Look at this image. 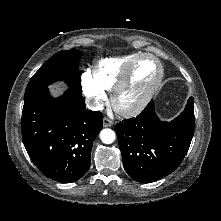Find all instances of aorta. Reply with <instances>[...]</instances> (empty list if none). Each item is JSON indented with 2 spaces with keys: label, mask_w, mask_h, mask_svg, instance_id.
Wrapping results in <instances>:
<instances>
[{
  "label": "aorta",
  "mask_w": 221,
  "mask_h": 221,
  "mask_svg": "<svg viewBox=\"0 0 221 221\" xmlns=\"http://www.w3.org/2000/svg\"><path fill=\"white\" fill-rule=\"evenodd\" d=\"M100 139L105 144H111L115 140V133L111 129H103L100 132Z\"/></svg>",
  "instance_id": "obj_1"
}]
</instances>
